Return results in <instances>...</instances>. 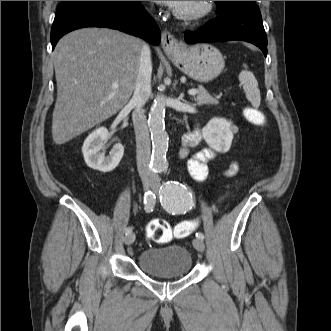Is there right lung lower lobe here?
<instances>
[{
	"mask_svg": "<svg viewBox=\"0 0 331 331\" xmlns=\"http://www.w3.org/2000/svg\"><path fill=\"white\" fill-rule=\"evenodd\" d=\"M84 27H107L157 45L160 30L140 1H72L59 5L51 29L52 49L66 33Z\"/></svg>",
	"mask_w": 331,
	"mask_h": 331,
	"instance_id": "98d812e1",
	"label": "right lung lower lobe"
}]
</instances>
